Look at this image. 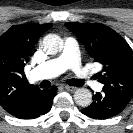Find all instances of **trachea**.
<instances>
[{
    "label": "trachea",
    "instance_id": "3493384b",
    "mask_svg": "<svg viewBox=\"0 0 133 133\" xmlns=\"http://www.w3.org/2000/svg\"><path fill=\"white\" fill-rule=\"evenodd\" d=\"M68 84L71 85V86H81L83 85V81L81 80H78V79H70L68 80ZM50 82L49 81H44L41 83V86L43 88H47V87H50Z\"/></svg>",
    "mask_w": 133,
    "mask_h": 133
}]
</instances>
